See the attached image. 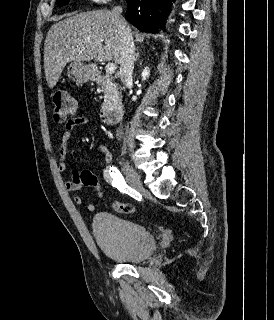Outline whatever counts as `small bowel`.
I'll use <instances>...</instances> for the list:
<instances>
[{"label": "small bowel", "instance_id": "small-bowel-1", "mask_svg": "<svg viewBox=\"0 0 274 320\" xmlns=\"http://www.w3.org/2000/svg\"><path fill=\"white\" fill-rule=\"evenodd\" d=\"M75 104H76V102H75ZM87 124H88V119L84 116L73 117L66 122L64 129H63V132H62V135H61L60 145H59V150H58V154H59L58 170L60 172H65L68 167V163H67L68 143L71 139V136H72L74 129L77 127H80V126H85ZM97 149H99L100 151H102L105 154V156H104L105 165L106 166L111 165L112 156L107 151V149L102 145L97 146ZM83 172L87 173L88 175H93L90 171H87V170H83ZM83 186H85V185H83L82 183H76L74 181H67L65 183V187L68 191H77V190L81 189ZM74 200L79 205L84 203V198L81 195L75 196ZM85 209L88 212H93L95 209V206L93 203L88 202L85 204Z\"/></svg>", "mask_w": 274, "mask_h": 320}]
</instances>
